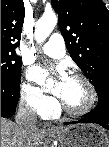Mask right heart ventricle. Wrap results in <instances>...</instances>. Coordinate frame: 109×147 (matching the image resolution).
Listing matches in <instances>:
<instances>
[{
	"mask_svg": "<svg viewBox=\"0 0 109 147\" xmlns=\"http://www.w3.org/2000/svg\"><path fill=\"white\" fill-rule=\"evenodd\" d=\"M55 113H56V109L52 108V109H50L48 111H44L43 113H41V116L45 117V118H48V117L54 116Z\"/></svg>",
	"mask_w": 109,
	"mask_h": 147,
	"instance_id": "e07e8e85",
	"label": "right heart ventricle"
}]
</instances>
